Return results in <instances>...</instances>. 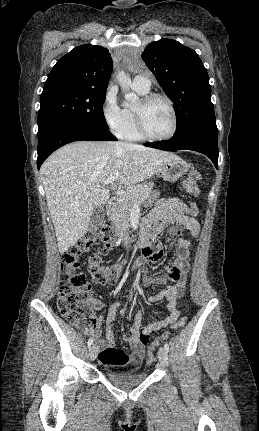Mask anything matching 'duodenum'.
I'll use <instances>...</instances> for the list:
<instances>
[{
    "label": "duodenum",
    "mask_w": 259,
    "mask_h": 431,
    "mask_svg": "<svg viewBox=\"0 0 259 431\" xmlns=\"http://www.w3.org/2000/svg\"><path fill=\"white\" fill-rule=\"evenodd\" d=\"M116 200L115 199H111L110 201H109V203H108V205H107V212H108V214H112L113 213V211H114V209H115V207H116ZM124 245H125V247H127V248H129L130 247V244H129V241L127 240V239H124Z\"/></svg>",
    "instance_id": "duodenum-1"
}]
</instances>
